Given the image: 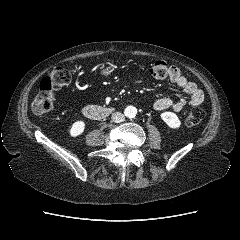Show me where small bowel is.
Returning a JSON list of instances; mask_svg holds the SVG:
<instances>
[{
    "label": "small bowel",
    "mask_w": 240,
    "mask_h": 240,
    "mask_svg": "<svg viewBox=\"0 0 240 240\" xmlns=\"http://www.w3.org/2000/svg\"><path fill=\"white\" fill-rule=\"evenodd\" d=\"M168 78L171 83L182 88L186 96L178 100H174L171 97L160 98L153 104L155 111L172 109L174 112H180L187 107H196L203 103V91L195 83L188 81L177 67L170 66Z\"/></svg>",
    "instance_id": "obj_1"
}]
</instances>
